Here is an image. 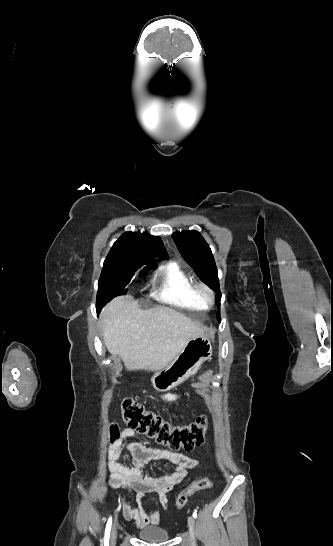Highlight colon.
<instances>
[{"label":"colon","instance_id":"colon-1","mask_svg":"<svg viewBox=\"0 0 333 546\" xmlns=\"http://www.w3.org/2000/svg\"><path fill=\"white\" fill-rule=\"evenodd\" d=\"M121 412L123 421L129 429L146 435L172 450L182 449L190 452L205 442L207 419L204 415L198 416L188 425L173 426L133 399L122 401ZM119 435L118 425L112 424L110 440L112 442L117 440ZM212 485V481L207 478L193 481L177 496L176 508L182 509L191 495L209 489Z\"/></svg>","mask_w":333,"mask_h":546}]
</instances>
